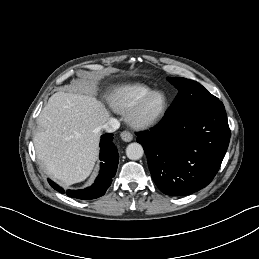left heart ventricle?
Wrapping results in <instances>:
<instances>
[{
    "label": "left heart ventricle",
    "mask_w": 259,
    "mask_h": 259,
    "mask_svg": "<svg viewBox=\"0 0 259 259\" xmlns=\"http://www.w3.org/2000/svg\"><path fill=\"white\" fill-rule=\"evenodd\" d=\"M164 105V97L161 94H156L152 96L143 109V116L144 117H153L157 115L163 108Z\"/></svg>",
    "instance_id": "obj_1"
}]
</instances>
